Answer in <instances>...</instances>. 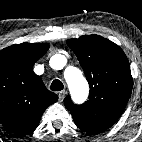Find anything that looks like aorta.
<instances>
[{
  "label": "aorta",
  "instance_id": "762f6f07",
  "mask_svg": "<svg viewBox=\"0 0 142 142\" xmlns=\"http://www.w3.org/2000/svg\"><path fill=\"white\" fill-rule=\"evenodd\" d=\"M58 59L61 64L66 63L64 56L59 55ZM64 77L69 86L72 96L77 101L86 100L89 93V86L81 71L76 67H67L64 71Z\"/></svg>",
  "mask_w": 142,
  "mask_h": 142
}]
</instances>
